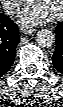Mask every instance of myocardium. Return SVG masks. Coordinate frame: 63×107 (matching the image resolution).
<instances>
[{
  "mask_svg": "<svg viewBox=\"0 0 63 107\" xmlns=\"http://www.w3.org/2000/svg\"><path fill=\"white\" fill-rule=\"evenodd\" d=\"M62 12H63V1H61L59 9L57 10L56 13H54V14L52 15V17H53L54 19L59 18V17L61 16Z\"/></svg>",
  "mask_w": 63,
  "mask_h": 107,
  "instance_id": "1",
  "label": "myocardium"
}]
</instances>
